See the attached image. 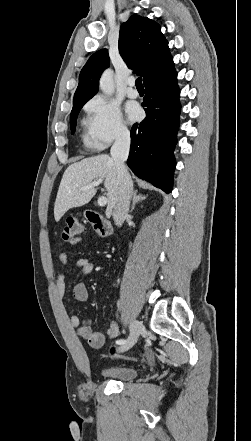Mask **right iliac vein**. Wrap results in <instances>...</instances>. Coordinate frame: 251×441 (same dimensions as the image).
<instances>
[{"instance_id":"63e3f726","label":"right iliac vein","mask_w":251,"mask_h":441,"mask_svg":"<svg viewBox=\"0 0 251 441\" xmlns=\"http://www.w3.org/2000/svg\"><path fill=\"white\" fill-rule=\"evenodd\" d=\"M142 330V325L137 320H132L130 324V335L123 345H120L119 351L124 352L132 348L137 342L140 332Z\"/></svg>"}]
</instances>
